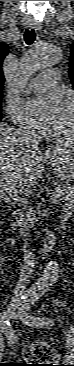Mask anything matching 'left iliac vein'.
Wrapping results in <instances>:
<instances>
[{"label":"left iliac vein","instance_id":"left-iliac-vein-1","mask_svg":"<svg viewBox=\"0 0 74 366\" xmlns=\"http://www.w3.org/2000/svg\"><path fill=\"white\" fill-rule=\"evenodd\" d=\"M19 318H20L22 321L24 320V318H23V315H22V314H20V315H19ZM66 358L70 359V357H69V356H67Z\"/></svg>","mask_w":74,"mask_h":366}]
</instances>
